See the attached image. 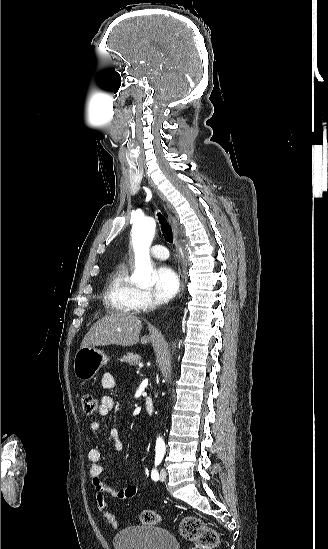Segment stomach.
I'll return each instance as SVG.
<instances>
[{"mask_svg": "<svg viewBox=\"0 0 328 549\" xmlns=\"http://www.w3.org/2000/svg\"><path fill=\"white\" fill-rule=\"evenodd\" d=\"M109 357L94 347H81L74 359V373L80 381H90L103 365H107Z\"/></svg>", "mask_w": 328, "mask_h": 549, "instance_id": "stomach-1", "label": "stomach"}]
</instances>
